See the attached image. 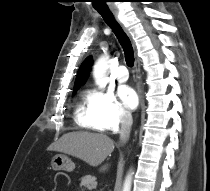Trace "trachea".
Instances as JSON below:
<instances>
[{
    "label": "trachea",
    "instance_id": "obj_1",
    "mask_svg": "<svg viewBox=\"0 0 210 191\" xmlns=\"http://www.w3.org/2000/svg\"><path fill=\"white\" fill-rule=\"evenodd\" d=\"M96 10L116 35L124 50L126 63L128 66L132 67L134 65V52L129 37L124 32L119 23L115 20L114 15L108 8H96Z\"/></svg>",
    "mask_w": 210,
    "mask_h": 191
}]
</instances>
